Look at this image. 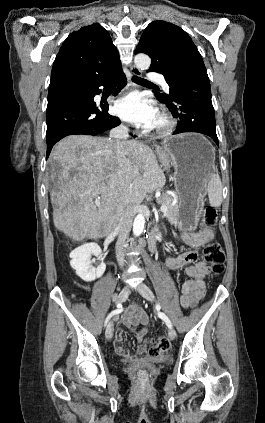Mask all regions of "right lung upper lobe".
<instances>
[{
	"mask_svg": "<svg viewBox=\"0 0 265 423\" xmlns=\"http://www.w3.org/2000/svg\"><path fill=\"white\" fill-rule=\"evenodd\" d=\"M121 62L109 33L98 23L71 33L53 64L49 90L93 79H105L121 71Z\"/></svg>",
	"mask_w": 265,
	"mask_h": 423,
	"instance_id": "1",
	"label": "right lung upper lobe"
}]
</instances>
